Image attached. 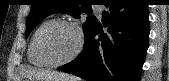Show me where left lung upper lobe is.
<instances>
[{
	"instance_id": "5c2ea615",
	"label": "left lung upper lobe",
	"mask_w": 169,
	"mask_h": 81,
	"mask_svg": "<svg viewBox=\"0 0 169 81\" xmlns=\"http://www.w3.org/2000/svg\"><path fill=\"white\" fill-rule=\"evenodd\" d=\"M31 12L27 19L26 37L33 28L50 14L62 12L70 14L76 18L86 10L87 5H80L78 0H32ZM82 6V8L80 7ZM90 6V5H88ZM96 24V18L90 16L83 24L85 36Z\"/></svg>"
}]
</instances>
